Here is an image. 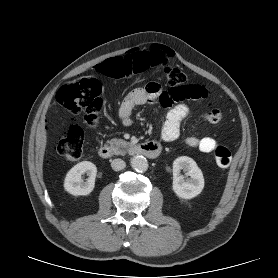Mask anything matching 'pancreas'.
Instances as JSON below:
<instances>
[{
  "instance_id": "pancreas-1",
  "label": "pancreas",
  "mask_w": 278,
  "mask_h": 278,
  "mask_svg": "<svg viewBox=\"0 0 278 278\" xmlns=\"http://www.w3.org/2000/svg\"><path fill=\"white\" fill-rule=\"evenodd\" d=\"M108 144L110 145V147L112 148L115 154H121V155L125 154L124 148H126L129 145V143L124 141L123 139H117V138H113L109 140Z\"/></svg>"
}]
</instances>
